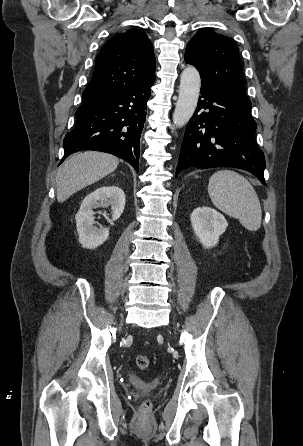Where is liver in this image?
I'll use <instances>...</instances> for the list:
<instances>
[{
  "instance_id": "6515ba94",
  "label": "liver",
  "mask_w": 303,
  "mask_h": 446,
  "mask_svg": "<svg viewBox=\"0 0 303 446\" xmlns=\"http://www.w3.org/2000/svg\"><path fill=\"white\" fill-rule=\"evenodd\" d=\"M118 164L117 157L97 151L72 155L60 166L56 175L58 202L66 201L77 191L112 173Z\"/></svg>"
}]
</instances>
